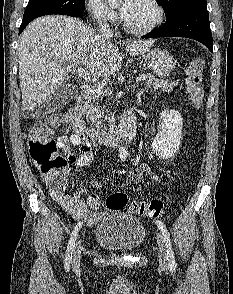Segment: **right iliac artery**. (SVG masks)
<instances>
[{
    "instance_id": "obj_1",
    "label": "right iliac artery",
    "mask_w": 233,
    "mask_h": 294,
    "mask_svg": "<svg viewBox=\"0 0 233 294\" xmlns=\"http://www.w3.org/2000/svg\"><path fill=\"white\" fill-rule=\"evenodd\" d=\"M82 223L79 222L77 223V225L74 227L72 233H71V237L67 246V250H66V254H65V270H69L70 269V263H71V259H72V253L74 250V246H75V241L77 239L78 236V231L81 227Z\"/></svg>"
}]
</instances>
